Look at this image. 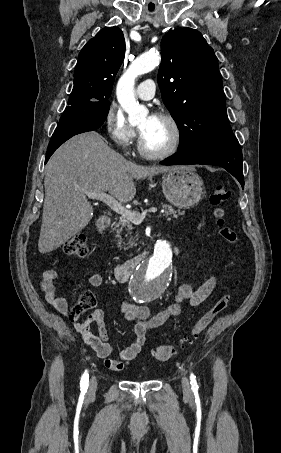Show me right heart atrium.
<instances>
[{
    "label": "right heart atrium",
    "mask_w": 281,
    "mask_h": 453,
    "mask_svg": "<svg viewBox=\"0 0 281 453\" xmlns=\"http://www.w3.org/2000/svg\"><path fill=\"white\" fill-rule=\"evenodd\" d=\"M104 124L109 135L120 148H128L134 143L137 129L128 122L120 110L109 108L104 115ZM111 158V170L122 175L125 171L123 158L116 153L112 154Z\"/></svg>",
    "instance_id": "1"
}]
</instances>
